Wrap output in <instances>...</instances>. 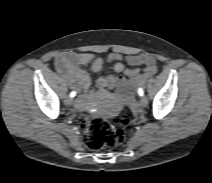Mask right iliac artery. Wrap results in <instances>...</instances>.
Returning a JSON list of instances; mask_svg holds the SVG:
<instances>
[{
  "label": "right iliac artery",
  "mask_w": 212,
  "mask_h": 183,
  "mask_svg": "<svg viewBox=\"0 0 212 183\" xmlns=\"http://www.w3.org/2000/svg\"><path fill=\"white\" fill-rule=\"evenodd\" d=\"M75 95H76V92L75 91H73V92L70 93V97H74Z\"/></svg>",
  "instance_id": "right-iliac-artery-1"
}]
</instances>
